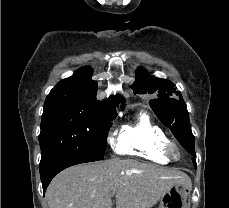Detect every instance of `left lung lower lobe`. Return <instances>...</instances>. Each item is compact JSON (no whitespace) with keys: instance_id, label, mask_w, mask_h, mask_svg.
Instances as JSON below:
<instances>
[{"instance_id":"left-lung-lower-lobe-1","label":"left lung lower lobe","mask_w":229,"mask_h":208,"mask_svg":"<svg viewBox=\"0 0 229 208\" xmlns=\"http://www.w3.org/2000/svg\"><path fill=\"white\" fill-rule=\"evenodd\" d=\"M191 155H193V157H195V150H194V144L189 145V146H185L184 147ZM192 162L194 164V167L196 168V160L195 158H192Z\"/></svg>"}]
</instances>
